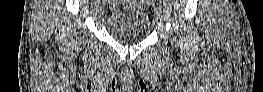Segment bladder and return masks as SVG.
I'll list each match as a JSON object with an SVG mask.
<instances>
[{
    "label": "bladder",
    "instance_id": "1",
    "mask_svg": "<svg viewBox=\"0 0 263 92\" xmlns=\"http://www.w3.org/2000/svg\"><path fill=\"white\" fill-rule=\"evenodd\" d=\"M127 6L112 10L106 18L110 36L122 43H136L150 32L149 20L140 1H127Z\"/></svg>",
    "mask_w": 263,
    "mask_h": 92
}]
</instances>
